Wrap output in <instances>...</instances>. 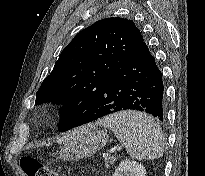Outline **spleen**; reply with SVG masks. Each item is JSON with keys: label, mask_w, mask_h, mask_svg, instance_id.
Here are the masks:
<instances>
[{"label": "spleen", "mask_w": 205, "mask_h": 176, "mask_svg": "<svg viewBox=\"0 0 205 176\" xmlns=\"http://www.w3.org/2000/svg\"><path fill=\"white\" fill-rule=\"evenodd\" d=\"M98 124L111 129L132 158L155 160L163 155V132L145 113L120 111L104 117Z\"/></svg>", "instance_id": "1"}]
</instances>
